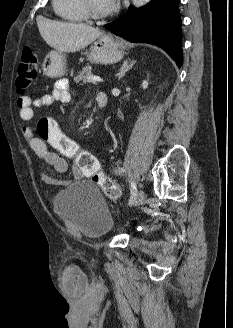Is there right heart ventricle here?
<instances>
[{
    "label": "right heart ventricle",
    "mask_w": 233,
    "mask_h": 328,
    "mask_svg": "<svg viewBox=\"0 0 233 328\" xmlns=\"http://www.w3.org/2000/svg\"><path fill=\"white\" fill-rule=\"evenodd\" d=\"M53 7L58 16L68 21L80 22L87 18L82 0H53Z\"/></svg>",
    "instance_id": "right-heart-ventricle-1"
}]
</instances>
